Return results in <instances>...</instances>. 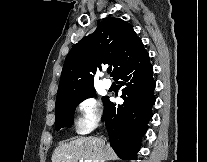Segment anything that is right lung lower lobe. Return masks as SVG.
<instances>
[{"label": "right lung lower lobe", "mask_w": 207, "mask_h": 162, "mask_svg": "<svg viewBox=\"0 0 207 162\" xmlns=\"http://www.w3.org/2000/svg\"><path fill=\"white\" fill-rule=\"evenodd\" d=\"M152 75L153 67L147 53L114 77L123 88L124 103L116 108L108 99L104 104L102 119L106 120L110 145L123 160H136L141 138L152 117L151 108L155 103Z\"/></svg>", "instance_id": "right-lung-lower-lobe-1"}]
</instances>
